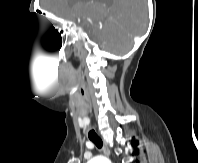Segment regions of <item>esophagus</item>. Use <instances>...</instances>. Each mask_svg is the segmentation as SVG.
Segmentation results:
<instances>
[{"instance_id":"1","label":"esophagus","mask_w":198,"mask_h":163,"mask_svg":"<svg viewBox=\"0 0 198 163\" xmlns=\"http://www.w3.org/2000/svg\"><path fill=\"white\" fill-rule=\"evenodd\" d=\"M103 152L106 156L110 155V149L105 141H103Z\"/></svg>"}]
</instances>
